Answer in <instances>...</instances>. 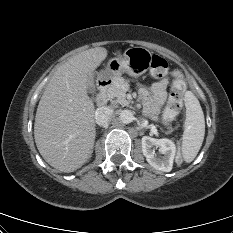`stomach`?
Wrapping results in <instances>:
<instances>
[{
  "instance_id": "stomach-1",
  "label": "stomach",
  "mask_w": 233,
  "mask_h": 233,
  "mask_svg": "<svg viewBox=\"0 0 233 233\" xmlns=\"http://www.w3.org/2000/svg\"><path fill=\"white\" fill-rule=\"evenodd\" d=\"M152 53L143 47H130L123 55L112 58L107 65L105 75L115 80L123 73L132 77L143 75L151 64Z\"/></svg>"
}]
</instances>
